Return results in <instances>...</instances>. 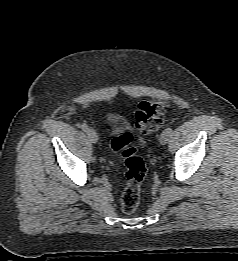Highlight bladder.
<instances>
[{"label":"bladder","mask_w":238,"mask_h":261,"mask_svg":"<svg viewBox=\"0 0 238 261\" xmlns=\"http://www.w3.org/2000/svg\"><path fill=\"white\" fill-rule=\"evenodd\" d=\"M108 130L111 133L119 132L123 129V122L117 117H109L107 121Z\"/></svg>","instance_id":"1"}]
</instances>
